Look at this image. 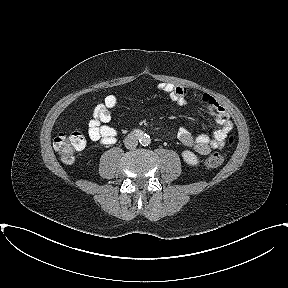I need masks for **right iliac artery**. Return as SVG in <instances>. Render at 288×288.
<instances>
[{
	"mask_svg": "<svg viewBox=\"0 0 288 288\" xmlns=\"http://www.w3.org/2000/svg\"><path fill=\"white\" fill-rule=\"evenodd\" d=\"M133 134H134L136 137H138V138H140V137L143 136V132H142L141 130H138V129H135V130L133 131Z\"/></svg>",
	"mask_w": 288,
	"mask_h": 288,
	"instance_id": "1",
	"label": "right iliac artery"
}]
</instances>
